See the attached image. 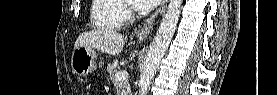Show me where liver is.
I'll return each mask as SVG.
<instances>
[{
    "mask_svg": "<svg viewBox=\"0 0 277 95\" xmlns=\"http://www.w3.org/2000/svg\"><path fill=\"white\" fill-rule=\"evenodd\" d=\"M124 43V36L120 33L109 30H94L81 34L75 42L74 49L86 47L115 56L122 51Z\"/></svg>",
    "mask_w": 277,
    "mask_h": 95,
    "instance_id": "liver-1",
    "label": "liver"
}]
</instances>
